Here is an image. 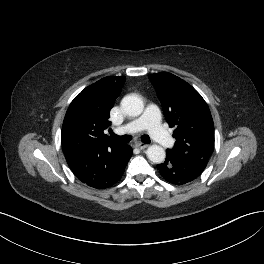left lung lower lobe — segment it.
<instances>
[{"label":"left lung lower lobe","mask_w":264,"mask_h":264,"mask_svg":"<svg viewBox=\"0 0 264 264\" xmlns=\"http://www.w3.org/2000/svg\"><path fill=\"white\" fill-rule=\"evenodd\" d=\"M207 162L179 157L176 153L167 150L164 163L157 165L160 174L166 181L182 185L196 179L205 169Z\"/></svg>","instance_id":"obj_1"}]
</instances>
